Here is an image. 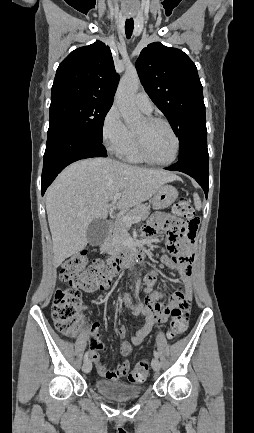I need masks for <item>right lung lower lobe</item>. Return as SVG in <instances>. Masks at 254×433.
<instances>
[{
    "mask_svg": "<svg viewBox=\"0 0 254 433\" xmlns=\"http://www.w3.org/2000/svg\"><path fill=\"white\" fill-rule=\"evenodd\" d=\"M106 156V149L99 140L63 123L50 124L43 159L42 195L69 164L80 159Z\"/></svg>",
    "mask_w": 254,
    "mask_h": 433,
    "instance_id": "1",
    "label": "right lung lower lobe"
}]
</instances>
